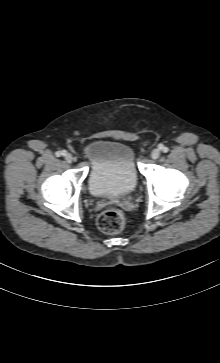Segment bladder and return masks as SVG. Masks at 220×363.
Instances as JSON below:
<instances>
[{
	"mask_svg": "<svg viewBox=\"0 0 220 363\" xmlns=\"http://www.w3.org/2000/svg\"><path fill=\"white\" fill-rule=\"evenodd\" d=\"M82 151L89 160L87 187L95 196H121L133 191L139 171L133 147L124 141L95 139L86 142Z\"/></svg>",
	"mask_w": 220,
	"mask_h": 363,
	"instance_id": "31cf9c89",
	"label": "bladder"
}]
</instances>
